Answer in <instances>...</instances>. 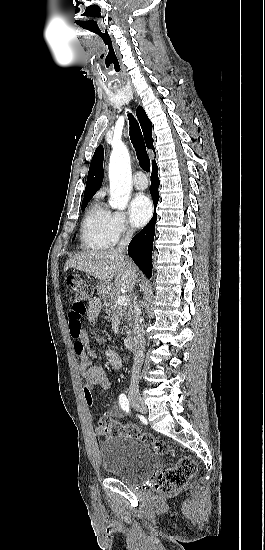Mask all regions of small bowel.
<instances>
[{
  "label": "small bowel",
  "instance_id": "small-bowel-1",
  "mask_svg": "<svg viewBox=\"0 0 265 550\" xmlns=\"http://www.w3.org/2000/svg\"><path fill=\"white\" fill-rule=\"evenodd\" d=\"M101 311V301L98 298H93L87 306L86 312L89 320H95ZM75 327L71 329V334L77 339L74 344V352L79 357V371L86 380L84 387V395L89 403L92 405L93 395L92 390L98 386L102 389H108L111 386L110 379L102 365L94 363V350L91 345L88 332L81 327L79 319H72ZM99 342H103V338L96 336ZM105 357L108 363L114 369H121L126 357L121 355L114 349L107 348L105 350ZM109 417L121 418L123 416V409L120 404H114L104 414ZM101 434V433H100Z\"/></svg>",
  "mask_w": 265,
  "mask_h": 550
}]
</instances>
